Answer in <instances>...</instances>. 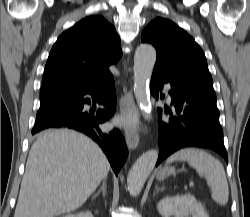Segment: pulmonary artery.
I'll use <instances>...</instances> for the list:
<instances>
[{"mask_svg":"<svg viewBox=\"0 0 250 217\" xmlns=\"http://www.w3.org/2000/svg\"><path fill=\"white\" fill-rule=\"evenodd\" d=\"M164 90L168 93V91H169V86H168V85H165V86H164ZM168 99L171 100V97L168 96Z\"/></svg>","mask_w":250,"mask_h":217,"instance_id":"e3ab8cb5","label":"pulmonary artery"}]
</instances>
